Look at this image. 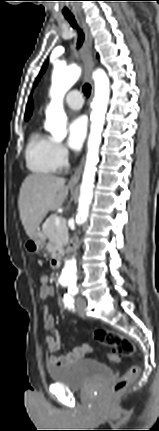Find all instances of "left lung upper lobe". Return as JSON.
Masks as SVG:
<instances>
[{"label":"left lung upper lobe","instance_id":"1","mask_svg":"<svg viewBox=\"0 0 159 431\" xmlns=\"http://www.w3.org/2000/svg\"><path fill=\"white\" fill-rule=\"evenodd\" d=\"M45 68H46V64L42 67V70H41V72H40V74H39V76L37 78V81L40 79V77H41L42 73L44 72Z\"/></svg>","mask_w":159,"mask_h":431}]
</instances>
